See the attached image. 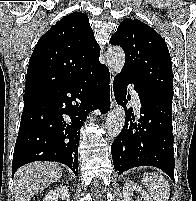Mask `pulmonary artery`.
I'll list each match as a JSON object with an SVG mask.
<instances>
[{"mask_svg": "<svg viewBox=\"0 0 196 201\" xmlns=\"http://www.w3.org/2000/svg\"><path fill=\"white\" fill-rule=\"evenodd\" d=\"M133 98H134V101H135V105L138 108L139 105H140V101H139V96H138V94L136 92H133Z\"/></svg>", "mask_w": 196, "mask_h": 201, "instance_id": "pulmonary-artery-1", "label": "pulmonary artery"}]
</instances>
